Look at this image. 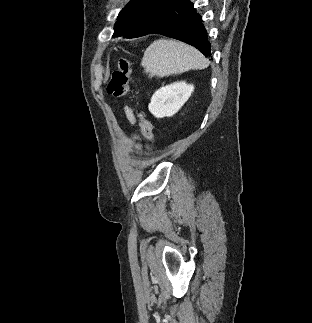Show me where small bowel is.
Returning <instances> with one entry per match:
<instances>
[{
    "label": "small bowel",
    "instance_id": "obj_1",
    "mask_svg": "<svg viewBox=\"0 0 312 323\" xmlns=\"http://www.w3.org/2000/svg\"><path fill=\"white\" fill-rule=\"evenodd\" d=\"M123 111H124V114H125L126 119L128 120V122L131 125H135L136 118H135V115H134V112H133L132 108L125 105L123 107ZM138 140H139V138H138L137 135H131L130 138H129V145L135 144L136 142H138Z\"/></svg>",
    "mask_w": 312,
    "mask_h": 323
}]
</instances>
